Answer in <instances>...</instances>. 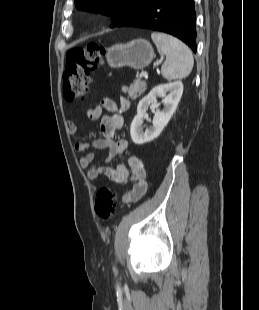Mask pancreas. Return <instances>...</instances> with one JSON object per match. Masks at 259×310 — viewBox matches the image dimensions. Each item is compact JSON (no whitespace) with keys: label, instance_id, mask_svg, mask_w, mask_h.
<instances>
[{"label":"pancreas","instance_id":"cf45deb5","mask_svg":"<svg viewBox=\"0 0 259 310\" xmlns=\"http://www.w3.org/2000/svg\"><path fill=\"white\" fill-rule=\"evenodd\" d=\"M147 88V84L143 80H135L129 87H123L122 91L128 93L131 100L137 99Z\"/></svg>","mask_w":259,"mask_h":310}]
</instances>
